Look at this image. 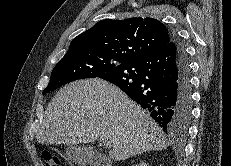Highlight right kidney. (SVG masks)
Masks as SVG:
<instances>
[{"label": "right kidney", "instance_id": "ca27d5eb", "mask_svg": "<svg viewBox=\"0 0 231 166\" xmlns=\"http://www.w3.org/2000/svg\"><path fill=\"white\" fill-rule=\"evenodd\" d=\"M135 166H149V163H147L146 161H142L139 164H136Z\"/></svg>", "mask_w": 231, "mask_h": 166}]
</instances>
